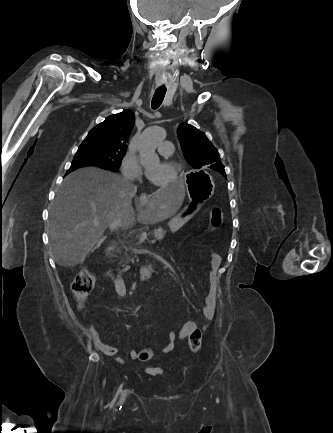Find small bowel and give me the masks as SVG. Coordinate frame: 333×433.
Here are the masks:
<instances>
[{
  "instance_id": "c3829d8e",
  "label": "small bowel",
  "mask_w": 333,
  "mask_h": 433,
  "mask_svg": "<svg viewBox=\"0 0 333 433\" xmlns=\"http://www.w3.org/2000/svg\"><path fill=\"white\" fill-rule=\"evenodd\" d=\"M221 264V256L218 253H211L210 255V273L211 275H214L217 273L219 267ZM215 305H216V296L215 291L209 287L206 293V296L204 298V304L201 308L202 316L206 320H210L214 316L215 312ZM206 327H203L205 329ZM195 329H199L197 323L193 321L186 322L182 328L178 331H171L167 335V341L164 345L162 352L163 353H169L174 349L175 343L178 340H182L186 337H188L192 331ZM200 330V329H199ZM88 335L90 339L92 340L95 348L103 353L106 356H114L117 353V348L108 344H105L101 341L99 334L94 326H91L88 330ZM154 356V350L152 347H145L139 351L137 350H131L130 351V357L132 359H137L143 362H147L152 359ZM119 360V359H118Z\"/></svg>"
}]
</instances>
